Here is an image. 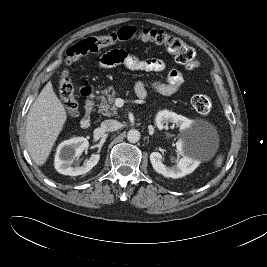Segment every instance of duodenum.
<instances>
[{"label": "duodenum", "instance_id": "410a0bca", "mask_svg": "<svg viewBox=\"0 0 267 267\" xmlns=\"http://www.w3.org/2000/svg\"><path fill=\"white\" fill-rule=\"evenodd\" d=\"M93 89L84 88L82 89V95L85 99V113L80 121L82 128H88L91 125V112L93 109Z\"/></svg>", "mask_w": 267, "mask_h": 267}]
</instances>
